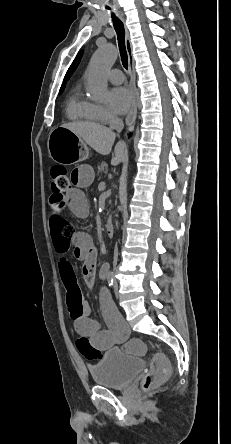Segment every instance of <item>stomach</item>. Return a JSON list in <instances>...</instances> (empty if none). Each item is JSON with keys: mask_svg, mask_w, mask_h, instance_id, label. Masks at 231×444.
Here are the masks:
<instances>
[{"mask_svg": "<svg viewBox=\"0 0 231 444\" xmlns=\"http://www.w3.org/2000/svg\"><path fill=\"white\" fill-rule=\"evenodd\" d=\"M48 151L51 158L61 164H74L88 157V148L84 141L62 126L50 133Z\"/></svg>", "mask_w": 231, "mask_h": 444, "instance_id": "obj_1", "label": "stomach"}]
</instances>
